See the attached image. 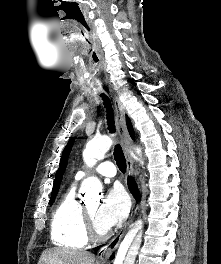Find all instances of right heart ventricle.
<instances>
[{
    "mask_svg": "<svg viewBox=\"0 0 221 264\" xmlns=\"http://www.w3.org/2000/svg\"><path fill=\"white\" fill-rule=\"evenodd\" d=\"M51 240L60 247L80 249L88 244L83 206L76 199L75 186L59 201L51 221Z\"/></svg>",
    "mask_w": 221,
    "mask_h": 264,
    "instance_id": "e07e8e85",
    "label": "right heart ventricle"
}]
</instances>
